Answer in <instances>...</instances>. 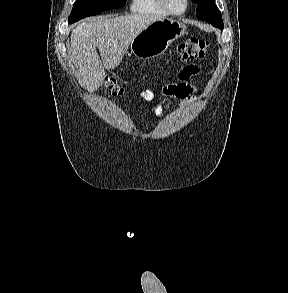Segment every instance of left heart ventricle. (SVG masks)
Wrapping results in <instances>:
<instances>
[{
  "mask_svg": "<svg viewBox=\"0 0 288 293\" xmlns=\"http://www.w3.org/2000/svg\"><path fill=\"white\" fill-rule=\"evenodd\" d=\"M166 1L169 7L175 12H180L184 9L185 0H166Z\"/></svg>",
  "mask_w": 288,
  "mask_h": 293,
  "instance_id": "left-heart-ventricle-1",
  "label": "left heart ventricle"
}]
</instances>
